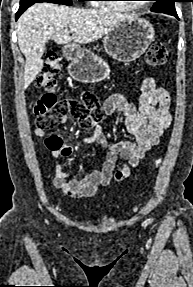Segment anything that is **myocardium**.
<instances>
[{"mask_svg": "<svg viewBox=\"0 0 193 287\" xmlns=\"http://www.w3.org/2000/svg\"><path fill=\"white\" fill-rule=\"evenodd\" d=\"M133 7L137 8V7H139V5H133Z\"/></svg>", "mask_w": 193, "mask_h": 287, "instance_id": "myocardium-1", "label": "myocardium"}]
</instances>
